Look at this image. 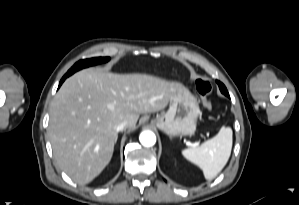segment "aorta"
I'll return each mask as SVG.
<instances>
[{"mask_svg":"<svg viewBox=\"0 0 299 205\" xmlns=\"http://www.w3.org/2000/svg\"><path fill=\"white\" fill-rule=\"evenodd\" d=\"M140 143L145 147H151L156 143V136L152 131H143L139 136Z\"/></svg>","mask_w":299,"mask_h":205,"instance_id":"obj_1","label":"aorta"}]
</instances>
